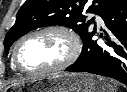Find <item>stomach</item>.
Listing matches in <instances>:
<instances>
[{
  "label": "stomach",
  "mask_w": 127,
  "mask_h": 92,
  "mask_svg": "<svg viewBox=\"0 0 127 92\" xmlns=\"http://www.w3.org/2000/svg\"><path fill=\"white\" fill-rule=\"evenodd\" d=\"M26 87L31 92H115L107 80L82 73L46 75L27 81ZM17 88H8L5 92H13Z\"/></svg>",
  "instance_id": "obj_1"
}]
</instances>
